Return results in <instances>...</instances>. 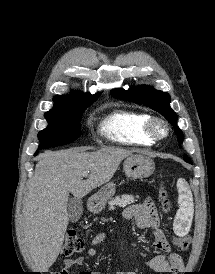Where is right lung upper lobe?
<instances>
[{
	"mask_svg": "<svg viewBox=\"0 0 215 274\" xmlns=\"http://www.w3.org/2000/svg\"><path fill=\"white\" fill-rule=\"evenodd\" d=\"M71 93L72 95L55 96L53 100L54 102H66L74 106H83L96 101L100 96V93L95 95H91L90 93L83 94L77 91H72Z\"/></svg>",
	"mask_w": 215,
	"mask_h": 274,
	"instance_id": "cb5924a9",
	"label": "right lung upper lobe"
}]
</instances>
